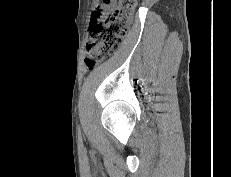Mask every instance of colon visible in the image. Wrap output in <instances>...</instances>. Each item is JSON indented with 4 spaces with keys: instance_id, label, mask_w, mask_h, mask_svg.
Segmentation results:
<instances>
[{
    "instance_id": "5ec220e1",
    "label": "colon",
    "mask_w": 231,
    "mask_h": 177,
    "mask_svg": "<svg viewBox=\"0 0 231 177\" xmlns=\"http://www.w3.org/2000/svg\"><path fill=\"white\" fill-rule=\"evenodd\" d=\"M103 4H115L116 8L103 21H91L84 59L89 69L117 50L129 29L137 0H103Z\"/></svg>"
}]
</instances>
